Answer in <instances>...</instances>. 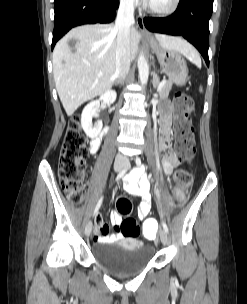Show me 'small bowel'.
<instances>
[{
  "mask_svg": "<svg viewBox=\"0 0 247 304\" xmlns=\"http://www.w3.org/2000/svg\"><path fill=\"white\" fill-rule=\"evenodd\" d=\"M159 140L158 150L164 152L162 157V169L166 175H171L177 165L178 158L175 152L171 149L172 135L171 124L173 108L170 102L164 101L159 108ZM101 144L100 138H94L90 142V152L95 154L98 152ZM124 190L133 196L141 198L140 207L138 209V217L145 219L151 209L152 197L150 194V182L145 169L136 167L132 174L124 182ZM111 223L114 225L115 232L109 234V226L100 216L97 217L94 229V238L99 241H115L123 238V234L119 230L121 223V215L113 212L110 216Z\"/></svg>",
  "mask_w": 247,
  "mask_h": 304,
  "instance_id": "1",
  "label": "small bowel"
}]
</instances>
